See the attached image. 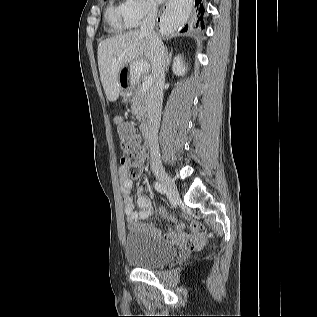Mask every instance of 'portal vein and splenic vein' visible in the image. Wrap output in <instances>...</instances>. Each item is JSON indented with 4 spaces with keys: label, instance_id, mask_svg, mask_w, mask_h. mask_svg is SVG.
I'll return each mask as SVG.
<instances>
[{
    "label": "portal vein and splenic vein",
    "instance_id": "portal-vein-and-splenic-vein-1",
    "mask_svg": "<svg viewBox=\"0 0 317 317\" xmlns=\"http://www.w3.org/2000/svg\"><path fill=\"white\" fill-rule=\"evenodd\" d=\"M145 63H139V65H138V68H139V70H143V68H145ZM151 83H152V79H151V77H148L143 83H142V87H141V90L143 91V92H146V91H148L149 90V88H150V86H151Z\"/></svg>",
    "mask_w": 317,
    "mask_h": 317
}]
</instances>
